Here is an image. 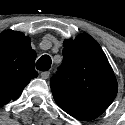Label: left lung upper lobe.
<instances>
[{
  "label": "left lung upper lobe",
  "instance_id": "5c2ea615",
  "mask_svg": "<svg viewBox=\"0 0 125 125\" xmlns=\"http://www.w3.org/2000/svg\"><path fill=\"white\" fill-rule=\"evenodd\" d=\"M60 73L51 78L56 103L80 120H93L110 106L118 84L102 48L90 35L82 33L64 41Z\"/></svg>",
  "mask_w": 125,
  "mask_h": 125
}]
</instances>
